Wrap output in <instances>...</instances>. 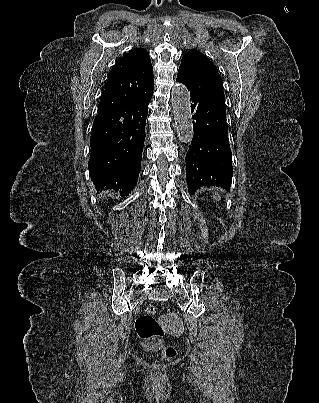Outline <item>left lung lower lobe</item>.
I'll list each match as a JSON object with an SVG mask.
<instances>
[{
    "mask_svg": "<svg viewBox=\"0 0 319 403\" xmlns=\"http://www.w3.org/2000/svg\"><path fill=\"white\" fill-rule=\"evenodd\" d=\"M178 82L190 91L194 136L186 154L188 191L203 186L230 190L233 176L224 91L200 85L178 71Z\"/></svg>",
    "mask_w": 319,
    "mask_h": 403,
    "instance_id": "1",
    "label": "left lung lower lobe"
}]
</instances>
